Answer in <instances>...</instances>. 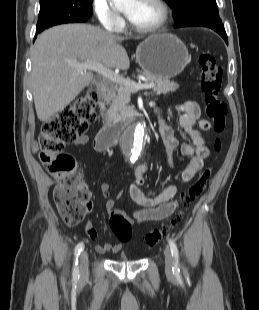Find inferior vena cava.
Wrapping results in <instances>:
<instances>
[{
	"label": "inferior vena cava",
	"instance_id": "inferior-vena-cava-1",
	"mask_svg": "<svg viewBox=\"0 0 259 310\" xmlns=\"http://www.w3.org/2000/svg\"><path fill=\"white\" fill-rule=\"evenodd\" d=\"M107 30H108L109 32H112V31H113V28L110 26V27H107Z\"/></svg>",
	"mask_w": 259,
	"mask_h": 310
}]
</instances>
